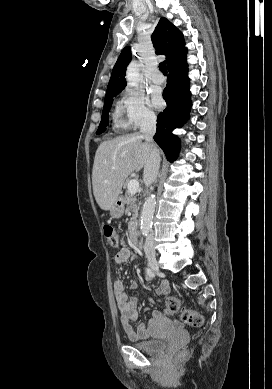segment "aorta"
<instances>
[{
	"instance_id": "762f6f07",
	"label": "aorta",
	"mask_w": 272,
	"mask_h": 389,
	"mask_svg": "<svg viewBox=\"0 0 272 389\" xmlns=\"http://www.w3.org/2000/svg\"><path fill=\"white\" fill-rule=\"evenodd\" d=\"M140 79V64L138 62L132 61L126 70L127 83L131 87H136L140 82ZM155 205L156 197L153 194L150 195L143 204L140 221V230L143 236L147 237L151 231Z\"/></svg>"
}]
</instances>
